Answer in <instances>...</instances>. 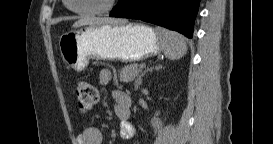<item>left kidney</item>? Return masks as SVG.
Instances as JSON below:
<instances>
[{"label":"left kidney","mask_w":273,"mask_h":144,"mask_svg":"<svg viewBox=\"0 0 273 144\" xmlns=\"http://www.w3.org/2000/svg\"><path fill=\"white\" fill-rule=\"evenodd\" d=\"M152 124H153L154 129L157 130V129H159L161 122L159 120H152Z\"/></svg>","instance_id":"left-kidney-1"}]
</instances>
